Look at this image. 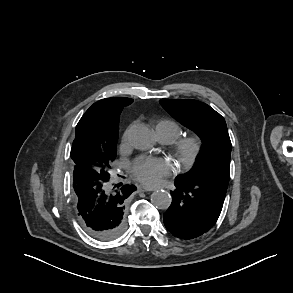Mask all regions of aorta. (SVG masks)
<instances>
[{
	"instance_id": "762f6f07",
	"label": "aorta",
	"mask_w": 293,
	"mask_h": 293,
	"mask_svg": "<svg viewBox=\"0 0 293 293\" xmlns=\"http://www.w3.org/2000/svg\"><path fill=\"white\" fill-rule=\"evenodd\" d=\"M129 141L137 149H150L154 142L153 132L146 125H135L130 130ZM151 202L156 208L165 210L171 205L172 197L164 190H157L151 194Z\"/></svg>"
}]
</instances>
